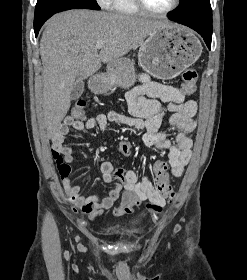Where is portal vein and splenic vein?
I'll use <instances>...</instances> for the list:
<instances>
[{
    "label": "portal vein and splenic vein",
    "mask_w": 247,
    "mask_h": 280,
    "mask_svg": "<svg viewBox=\"0 0 247 280\" xmlns=\"http://www.w3.org/2000/svg\"><path fill=\"white\" fill-rule=\"evenodd\" d=\"M103 47V44L102 43H98L97 45H96V48L97 49H101Z\"/></svg>",
    "instance_id": "1"
}]
</instances>
